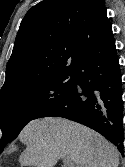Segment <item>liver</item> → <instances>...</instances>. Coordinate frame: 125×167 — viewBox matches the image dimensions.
Here are the masks:
<instances>
[{"instance_id":"6515ba94","label":"liver","mask_w":125,"mask_h":167,"mask_svg":"<svg viewBox=\"0 0 125 167\" xmlns=\"http://www.w3.org/2000/svg\"><path fill=\"white\" fill-rule=\"evenodd\" d=\"M26 145L21 167H54L69 159L73 167H118L117 148L102 135L79 123L45 117L32 120L19 135Z\"/></svg>"}]
</instances>
